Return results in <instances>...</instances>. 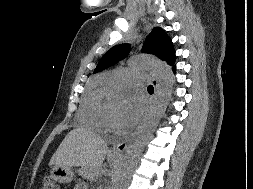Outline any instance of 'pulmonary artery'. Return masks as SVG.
I'll return each mask as SVG.
<instances>
[{
  "label": "pulmonary artery",
  "instance_id": "obj_1",
  "mask_svg": "<svg viewBox=\"0 0 253 189\" xmlns=\"http://www.w3.org/2000/svg\"><path fill=\"white\" fill-rule=\"evenodd\" d=\"M148 81L146 75L136 73V72H124L118 76L109 80V85L113 88H121L127 85H142Z\"/></svg>",
  "mask_w": 253,
  "mask_h": 189
}]
</instances>
